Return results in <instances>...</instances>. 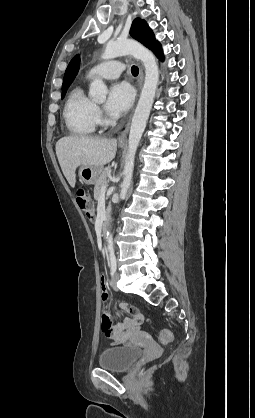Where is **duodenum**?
Instances as JSON below:
<instances>
[{
  "label": "duodenum",
  "mask_w": 255,
  "mask_h": 418,
  "mask_svg": "<svg viewBox=\"0 0 255 418\" xmlns=\"http://www.w3.org/2000/svg\"><path fill=\"white\" fill-rule=\"evenodd\" d=\"M108 227H109V219L107 218V216H105L100 226L101 235H104L106 233Z\"/></svg>",
  "instance_id": "obj_1"
}]
</instances>
